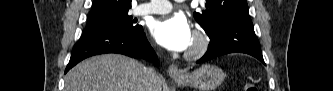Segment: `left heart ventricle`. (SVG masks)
<instances>
[{
    "label": "left heart ventricle",
    "mask_w": 333,
    "mask_h": 91,
    "mask_svg": "<svg viewBox=\"0 0 333 91\" xmlns=\"http://www.w3.org/2000/svg\"><path fill=\"white\" fill-rule=\"evenodd\" d=\"M193 43H194V40H192V43H191L190 47L193 45ZM190 47H189V48H190Z\"/></svg>",
    "instance_id": "obj_1"
}]
</instances>
